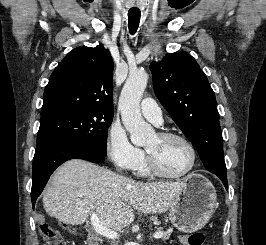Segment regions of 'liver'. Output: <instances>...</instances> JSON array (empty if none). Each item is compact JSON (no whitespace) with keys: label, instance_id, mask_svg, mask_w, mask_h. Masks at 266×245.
<instances>
[{"label":"liver","instance_id":"1","mask_svg":"<svg viewBox=\"0 0 266 245\" xmlns=\"http://www.w3.org/2000/svg\"><path fill=\"white\" fill-rule=\"evenodd\" d=\"M184 183H136L94 163L72 159L61 165L43 195L49 215L67 225H83L89 215L112 231H122L139 213H166Z\"/></svg>","mask_w":266,"mask_h":245}]
</instances>
